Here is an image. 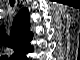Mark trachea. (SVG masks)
<instances>
[{"label": "trachea", "instance_id": "obj_1", "mask_svg": "<svg viewBox=\"0 0 80 60\" xmlns=\"http://www.w3.org/2000/svg\"><path fill=\"white\" fill-rule=\"evenodd\" d=\"M15 1H10V5L13 7L14 6Z\"/></svg>", "mask_w": 80, "mask_h": 60}]
</instances>
